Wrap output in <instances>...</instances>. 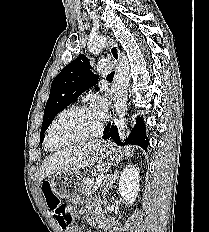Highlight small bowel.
Listing matches in <instances>:
<instances>
[{"instance_id": "small-bowel-1", "label": "small bowel", "mask_w": 209, "mask_h": 232, "mask_svg": "<svg viewBox=\"0 0 209 232\" xmlns=\"http://www.w3.org/2000/svg\"><path fill=\"white\" fill-rule=\"evenodd\" d=\"M90 209H92V207H89ZM93 212H94V215L96 217V219L99 221V222H103L102 218H101V215L100 213H98V211L96 209H93ZM61 227V226H60ZM62 228V227H61ZM64 230V232H81L80 229L78 228H75V227H67V228H62Z\"/></svg>"}]
</instances>
